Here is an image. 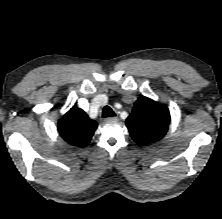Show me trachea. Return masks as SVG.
Returning a JSON list of instances; mask_svg holds the SVG:
<instances>
[{
    "instance_id": "1",
    "label": "trachea",
    "mask_w": 222,
    "mask_h": 219,
    "mask_svg": "<svg viewBox=\"0 0 222 219\" xmlns=\"http://www.w3.org/2000/svg\"><path fill=\"white\" fill-rule=\"evenodd\" d=\"M113 116H115L114 111L109 106H105L103 108L102 117L107 118V117H113Z\"/></svg>"
}]
</instances>
